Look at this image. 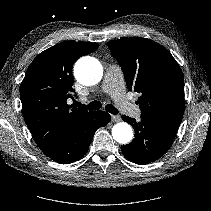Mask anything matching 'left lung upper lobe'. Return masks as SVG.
<instances>
[{
	"label": "left lung upper lobe",
	"mask_w": 211,
	"mask_h": 211,
	"mask_svg": "<svg viewBox=\"0 0 211 211\" xmlns=\"http://www.w3.org/2000/svg\"><path fill=\"white\" fill-rule=\"evenodd\" d=\"M108 47L123 69L127 87L141 94V115L183 117V74L166 48L140 37L111 40Z\"/></svg>",
	"instance_id": "left-lung-upper-lobe-1"
}]
</instances>
